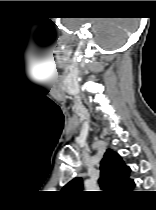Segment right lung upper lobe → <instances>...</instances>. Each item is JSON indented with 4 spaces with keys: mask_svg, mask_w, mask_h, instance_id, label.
Masks as SVG:
<instances>
[{
    "mask_svg": "<svg viewBox=\"0 0 156 210\" xmlns=\"http://www.w3.org/2000/svg\"><path fill=\"white\" fill-rule=\"evenodd\" d=\"M100 170L101 173L98 182L103 190L129 193L135 186L134 181L129 179L130 168L125 165L119 154L111 149H108L104 154ZM66 186L81 191L83 180L80 177L75 178Z\"/></svg>",
    "mask_w": 156,
    "mask_h": 210,
    "instance_id": "1",
    "label": "right lung upper lobe"
}]
</instances>
